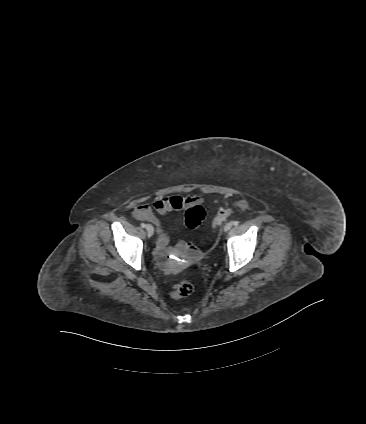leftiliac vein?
<instances>
[{
    "label": "left iliac vein",
    "instance_id": "4c4485c4",
    "mask_svg": "<svg viewBox=\"0 0 366 424\" xmlns=\"http://www.w3.org/2000/svg\"><path fill=\"white\" fill-rule=\"evenodd\" d=\"M231 227H232V223L229 222V223L225 224L224 231L225 232L229 231L231 229Z\"/></svg>",
    "mask_w": 366,
    "mask_h": 424
}]
</instances>
